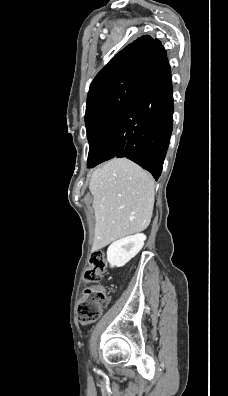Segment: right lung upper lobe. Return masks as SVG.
I'll list each match as a JSON object with an SVG mask.
<instances>
[{
    "instance_id": "1",
    "label": "right lung upper lobe",
    "mask_w": 228,
    "mask_h": 396,
    "mask_svg": "<svg viewBox=\"0 0 228 396\" xmlns=\"http://www.w3.org/2000/svg\"><path fill=\"white\" fill-rule=\"evenodd\" d=\"M161 46L159 40H154L148 35L136 39L117 53L96 75L90 85L89 92L107 80L133 71L144 70L143 61L153 55Z\"/></svg>"
}]
</instances>
